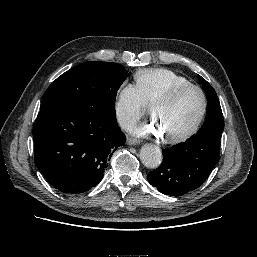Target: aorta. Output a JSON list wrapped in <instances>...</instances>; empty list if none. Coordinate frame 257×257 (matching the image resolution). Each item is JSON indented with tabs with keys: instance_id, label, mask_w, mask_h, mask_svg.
Here are the masks:
<instances>
[{
	"instance_id": "obj_1",
	"label": "aorta",
	"mask_w": 257,
	"mask_h": 257,
	"mask_svg": "<svg viewBox=\"0 0 257 257\" xmlns=\"http://www.w3.org/2000/svg\"><path fill=\"white\" fill-rule=\"evenodd\" d=\"M140 159L147 168H157L162 162L161 150L157 146L146 144L141 148Z\"/></svg>"
}]
</instances>
